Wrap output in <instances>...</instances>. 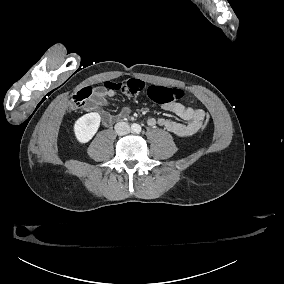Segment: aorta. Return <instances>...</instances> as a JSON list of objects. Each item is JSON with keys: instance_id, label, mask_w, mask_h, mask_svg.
<instances>
[{"instance_id": "obj_1", "label": "aorta", "mask_w": 284, "mask_h": 284, "mask_svg": "<svg viewBox=\"0 0 284 284\" xmlns=\"http://www.w3.org/2000/svg\"><path fill=\"white\" fill-rule=\"evenodd\" d=\"M133 130H134L135 132H139V131L141 130L140 125L134 124V125H133Z\"/></svg>"}]
</instances>
